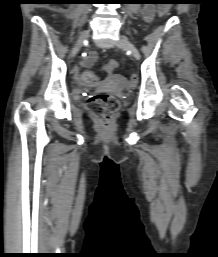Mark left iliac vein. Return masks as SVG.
<instances>
[{
    "instance_id": "left-iliac-vein-1",
    "label": "left iliac vein",
    "mask_w": 218,
    "mask_h": 257,
    "mask_svg": "<svg viewBox=\"0 0 218 257\" xmlns=\"http://www.w3.org/2000/svg\"><path fill=\"white\" fill-rule=\"evenodd\" d=\"M116 46L118 48H122L125 50H129L132 55L137 59L140 60L141 56L140 53L138 51V49L136 48V46L134 44H132L127 37L125 36H121L116 44Z\"/></svg>"
}]
</instances>
